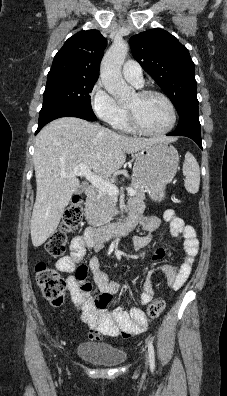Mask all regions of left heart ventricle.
I'll return each instance as SVG.
<instances>
[{
	"instance_id": "left-heart-ventricle-1",
	"label": "left heart ventricle",
	"mask_w": 227,
	"mask_h": 396,
	"mask_svg": "<svg viewBox=\"0 0 227 396\" xmlns=\"http://www.w3.org/2000/svg\"><path fill=\"white\" fill-rule=\"evenodd\" d=\"M131 108L140 124L151 131L162 130L170 122V110L165 101L156 95L140 97L135 94L127 104Z\"/></svg>"
}]
</instances>
